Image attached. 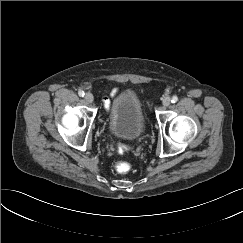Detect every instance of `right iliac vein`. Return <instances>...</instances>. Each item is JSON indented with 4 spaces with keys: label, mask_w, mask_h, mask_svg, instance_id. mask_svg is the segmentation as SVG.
<instances>
[{
    "label": "right iliac vein",
    "mask_w": 243,
    "mask_h": 243,
    "mask_svg": "<svg viewBox=\"0 0 243 243\" xmlns=\"http://www.w3.org/2000/svg\"><path fill=\"white\" fill-rule=\"evenodd\" d=\"M85 100L88 102V103H92L93 102V100H94V97H93V95L91 94V93H86L85 94Z\"/></svg>",
    "instance_id": "1"
}]
</instances>
